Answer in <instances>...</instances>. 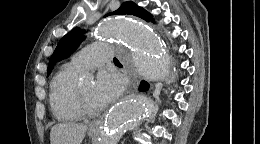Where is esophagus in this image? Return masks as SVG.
Listing matches in <instances>:
<instances>
[{"mask_svg":"<svg viewBox=\"0 0 260 144\" xmlns=\"http://www.w3.org/2000/svg\"><path fill=\"white\" fill-rule=\"evenodd\" d=\"M125 74L127 75V77L129 78V81H130L129 87H128V90H127V94H131L137 89L138 79L133 73H129L126 70H125ZM98 128H99V122H95V123L90 125L89 130L90 131H97Z\"/></svg>","mask_w":260,"mask_h":144,"instance_id":"obj_1","label":"esophagus"}]
</instances>
